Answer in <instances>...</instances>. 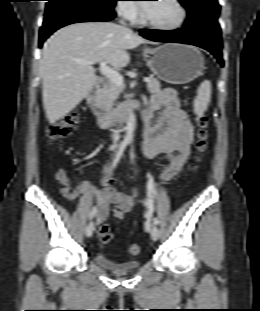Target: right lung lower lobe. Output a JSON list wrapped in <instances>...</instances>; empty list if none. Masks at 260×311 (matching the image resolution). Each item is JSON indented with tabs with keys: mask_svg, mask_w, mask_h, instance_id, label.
Returning a JSON list of instances; mask_svg holds the SVG:
<instances>
[{
	"mask_svg": "<svg viewBox=\"0 0 260 311\" xmlns=\"http://www.w3.org/2000/svg\"><path fill=\"white\" fill-rule=\"evenodd\" d=\"M40 29L39 47L57 29L78 22H105L115 17L114 10L104 9L89 0H48Z\"/></svg>",
	"mask_w": 260,
	"mask_h": 311,
	"instance_id": "right-lung-lower-lobe-1",
	"label": "right lung lower lobe"
}]
</instances>
